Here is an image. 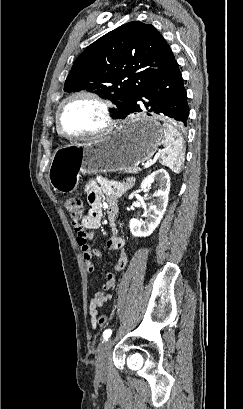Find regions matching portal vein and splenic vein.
Segmentation results:
<instances>
[{"label":"portal vein and splenic vein","instance_id":"18ae733b","mask_svg":"<svg viewBox=\"0 0 243 409\" xmlns=\"http://www.w3.org/2000/svg\"><path fill=\"white\" fill-rule=\"evenodd\" d=\"M148 167H150V162H149V161H147V162L144 164V168H148Z\"/></svg>","mask_w":243,"mask_h":409}]
</instances>
